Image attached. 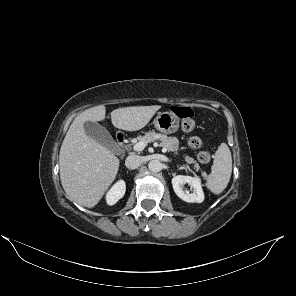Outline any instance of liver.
Returning <instances> with one entry per match:
<instances>
[{"mask_svg": "<svg viewBox=\"0 0 296 296\" xmlns=\"http://www.w3.org/2000/svg\"><path fill=\"white\" fill-rule=\"evenodd\" d=\"M161 108L133 106L111 112L112 124L125 131L144 128ZM106 108L98 105L80 113L72 122L60 148L61 184L68 199L92 208L98 204L116 178L120 161L114 153L89 137L84 130L86 121L105 119Z\"/></svg>", "mask_w": 296, "mask_h": 296, "instance_id": "liver-1", "label": "liver"}]
</instances>
